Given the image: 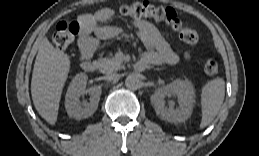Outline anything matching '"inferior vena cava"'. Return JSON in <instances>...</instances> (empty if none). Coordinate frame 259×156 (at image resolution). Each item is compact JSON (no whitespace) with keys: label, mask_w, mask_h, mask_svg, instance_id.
Here are the masks:
<instances>
[{"label":"inferior vena cava","mask_w":259,"mask_h":156,"mask_svg":"<svg viewBox=\"0 0 259 156\" xmlns=\"http://www.w3.org/2000/svg\"><path fill=\"white\" fill-rule=\"evenodd\" d=\"M119 75L116 73H109L104 78L108 81H116L118 79Z\"/></svg>","instance_id":"602c4592"}]
</instances>
